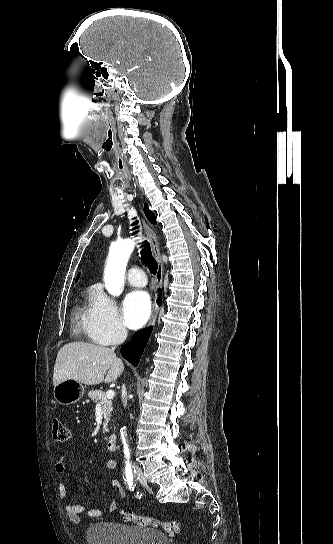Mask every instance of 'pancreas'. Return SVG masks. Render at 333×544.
Instances as JSON below:
<instances>
[{"label":"pancreas","instance_id":"pancreas-1","mask_svg":"<svg viewBox=\"0 0 333 544\" xmlns=\"http://www.w3.org/2000/svg\"><path fill=\"white\" fill-rule=\"evenodd\" d=\"M88 397L94 402H100L102 405V410L104 414V423H103V433L108 431L107 425L110 420L111 411H112V400L107 398L105 393L101 390H92L88 393Z\"/></svg>","mask_w":333,"mask_h":544}]
</instances>
